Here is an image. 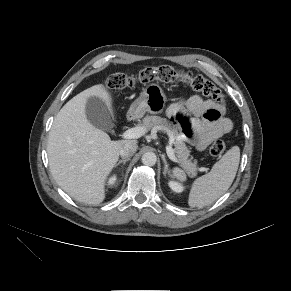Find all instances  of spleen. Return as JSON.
<instances>
[{"instance_id": "3e777b00", "label": "spleen", "mask_w": 291, "mask_h": 291, "mask_svg": "<svg viewBox=\"0 0 291 291\" xmlns=\"http://www.w3.org/2000/svg\"><path fill=\"white\" fill-rule=\"evenodd\" d=\"M239 160L240 149L233 146L213 165L209 173L193 182L188 198L189 206L203 208L219 199L233 183ZM172 173L178 180L186 181V174L182 169L174 168Z\"/></svg>"}]
</instances>
